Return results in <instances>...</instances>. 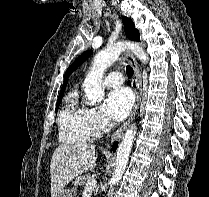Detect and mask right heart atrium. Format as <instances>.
Listing matches in <instances>:
<instances>
[{
	"instance_id": "d8ad5b80",
	"label": "right heart atrium",
	"mask_w": 209,
	"mask_h": 197,
	"mask_svg": "<svg viewBox=\"0 0 209 197\" xmlns=\"http://www.w3.org/2000/svg\"><path fill=\"white\" fill-rule=\"evenodd\" d=\"M86 115L88 125L93 136L99 135L110 125L109 119L98 107L87 108Z\"/></svg>"
}]
</instances>
